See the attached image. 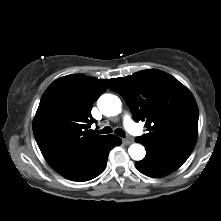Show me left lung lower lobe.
<instances>
[{"label": "left lung lower lobe", "mask_w": 221, "mask_h": 221, "mask_svg": "<svg viewBox=\"0 0 221 221\" xmlns=\"http://www.w3.org/2000/svg\"><path fill=\"white\" fill-rule=\"evenodd\" d=\"M135 140L146 148V157L135 165L141 173L150 177H163L177 170L187 160L195 146L194 142L189 141L154 145L137 138Z\"/></svg>", "instance_id": "0a47b994"}]
</instances>
